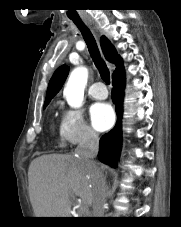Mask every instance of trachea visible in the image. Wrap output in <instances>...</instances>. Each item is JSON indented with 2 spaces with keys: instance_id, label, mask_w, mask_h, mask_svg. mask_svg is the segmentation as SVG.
Masks as SVG:
<instances>
[{
  "instance_id": "3493384b",
  "label": "trachea",
  "mask_w": 181,
  "mask_h": 227,
  "mask_svg": "<svg viewBox=\"0 0 181 227\" xmlns=\"http://www.w3.org/2000/svg\"><path fill=\"white\" fill-rule=\"evenodd\" d=\"M75 25L78 27V29L81 31L83 38L87 44L89 53L94 61V64L99 70L100 76L103 79L104 82L109 84L110 82V73L109 69L107 68L105 62L102 60L100 56V52L97 46V43L95 41L94 36L92 35L89 28L82 22V20H73Z\"/></svg>"
}]
</instances>
